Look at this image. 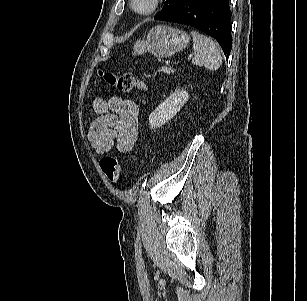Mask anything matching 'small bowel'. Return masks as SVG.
<instances>
[{"instance_id": "small-bowel-1", "label": "small bowel", "mask_w": 307, "mask_h": 301, "mask_svg": "<svg viewBox=\"0 0 307 301\" xmlns=\"http://www.w3.org/2000/svg\"><path fill=\"white\" fill-rule=\"evenodd\" d=\"M92 109L97 118L89 129V141L98 155H106L114 146L121 153L130 152L138 137L139 107L135 101L113 96L95 98Z\"/></svg>"}]
</instances>
